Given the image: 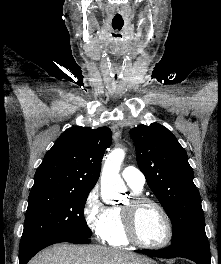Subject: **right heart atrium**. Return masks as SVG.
I'll return each mask as SVG.
<instances>
[{
  "label": "right heart atrium",
  "instance_id": "obj_1",
  "mask_svg": "<svg viewBox=\"0 0 221 264\" xmlns=\"http://www.w3.org/2000/svg\"><path fill=\"white\" fill-rule=\"evenodd\" d=\"M83 218L88 229L98 238L105 240L112 221L111 208L106 206L98 188H93L86 196L83 208Z\"/></svg>",
  "mask_w": 221,
  "mask_h": 264
}]
</instances>
